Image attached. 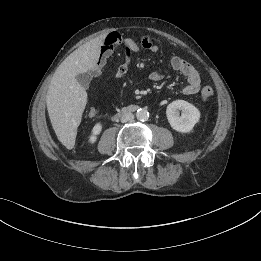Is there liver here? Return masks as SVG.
<instances>
[{
  "label": "liver",
  "mask_w": 261,
  "mask_h": 261,
  "mask_svg": "<svg viewBox=\"0 0 261 261\" xmlns=\"http://www.w3.org/2000/svg\"><path fill=\"white\" fill-rule=\"evenodd\" d=\"M105 37L106 34L96 37L76 49L51 80L46 95L47 110L55 134L65 146L73 145L87 103V92L76 76L96 66Z\"/></svg>",
  "instance_id": "1"
}]
</instances>
